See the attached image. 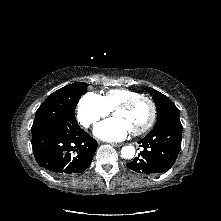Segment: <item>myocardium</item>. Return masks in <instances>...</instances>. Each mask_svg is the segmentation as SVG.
<instances>
[{
  "mask_svg": "<svg viewBox=\"0 0 221 221\" xmlns=\"http://www.w3.org/2000/svg\"><path fill=\"white\" fill-rule=\"evenodd\" d=\"M141 101H146V102L149 103V105L151 107V114H150L149 120L147 121V123L144 126H142L141 128H139L137 130L131 131V134L134 135V136H139V135H142V134L146 133L154 125V123L156 121V117H157V106H156L155 101L149 96L140 95V96L129 99V100L119 104L113 110V113H115L118 110H129Z\"/></svg>",
  "mask_w": 221,
  "mask_h": 221,
  "instance_id": "obj_1",
  "label": "myocardium"
}]
</instances>
